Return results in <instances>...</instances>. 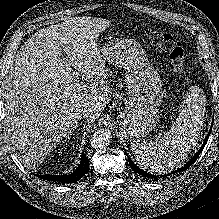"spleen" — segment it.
Masks as SVG:
<instances>
[{"label": "spleen", "mask_w": 219, "mask_h": 219, "mask_svg": "<svg viewBox=\"0 0 219 219\" xmlns=\"http://www.w3.org/2000/svg\"><path fill=\"white\" fill-rule=\"evenodd\" d=\"M204 98L197 88L187 92L183 106L171 129L153 141L131 143L138 164L155 173H165L179 167L187 153L196 146L204 117Z\"/></svg>", "instance_id": "obj_1"}]
</instances>
